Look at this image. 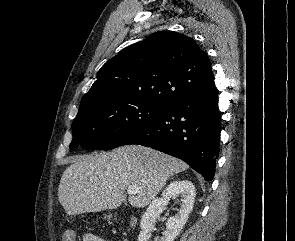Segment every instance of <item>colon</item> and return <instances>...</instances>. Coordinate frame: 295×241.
Returning <instances> with one entry per match:
<instances>
[{
    "instance_id": "5ec220e1",
    "label": "colon",
    "mask_w": 295,
    "mask_h": 241,
    "mask_svg": "<svg viewBox=\"0 0 295 241\" xmlns=\"http://www.w3.org/2000/svg\"><path fill=\"white\" fill-rule=\"evenodd\" d=\"M62 241H75V234L72 230H66L63 234Z\"/></svg>"
}]
</instances>
